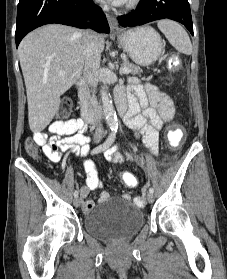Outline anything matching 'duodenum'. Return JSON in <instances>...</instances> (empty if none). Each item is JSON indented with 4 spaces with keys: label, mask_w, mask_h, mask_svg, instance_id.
<instances>
[{
    "label": "duodenum",
    "mask_w": 227,
    "mask_h": 279,
    "mask_svg": "<svg viewBox=\"0 0 227 279\" xmlns=\"http://www.w3.org/2000/svg\"><path fill=\"white\" fill-rule=\"evenodd\" d=\"M85 86L86 83L84 81L77 82L74 86L75 92L81 95L85 89ZM116 108L121 116H125V114L127 113V105L126 102L123 100H117ZM82 118L89 124H93L98 121V115L91 108H83Z\"/></svg>",
    "instance_id": "410a0bca"
}]
</instances>
